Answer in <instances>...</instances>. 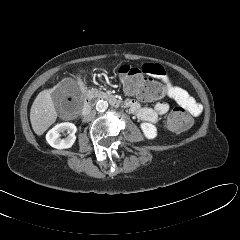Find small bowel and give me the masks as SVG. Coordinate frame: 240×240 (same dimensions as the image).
<instances>
[{
    "label": "small bowel",
    "mask_w": 240,
    "mask_h": 240,
    "mask_svg": "<svg viewBox=\"0 0 240 240\" xmlns=\"http://www.w3.org/2000/svg\"><path fill=\"white\" fill-rule=\"evenodd\" d=\"M141 70L144 74L161 80L167 88V96L190 114L198 116L202 112V106L185 89L170 82L161 65L146 63L142 65ZM126 105L139 120L152 124L158 123L160 116L166 114L170 108L165 101H159L153 107H147L136 100L128 99Z\"/></svg>",
    "instance_id": "1"
}]
</instances>
